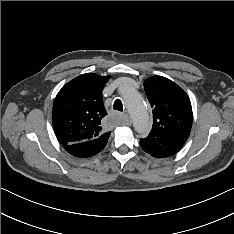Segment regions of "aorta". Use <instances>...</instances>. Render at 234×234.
<instances>
[{
  "instance_id": "1",
  "label": "aorta",
  "mask_w": 234,
  "mask_h": 234,
  "mask_svg": "<svg viewBox=\"0 0 234 234\" xmlns=\"http://www.w3.org/2000/svg\"><path fill=\"white\" fill-rule=\"evenodd\" d=\"M131 115L135 130L146 135L149 131V115L142 96L132 87H126L122 93Z\"/></svg>"
}]
</instances>
